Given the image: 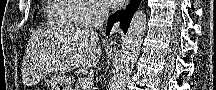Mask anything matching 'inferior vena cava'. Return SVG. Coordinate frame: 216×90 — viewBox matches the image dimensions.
<instances>
[{"label": "inferior vena cava", "mask_w": 216, "mask_h": 90, "mask_svg": "<svg viewBox=\"0 0 216 90\" xmlns=\"http://www.w3.org/2000/svg\"><path fill=\"white\" fill-rule=\"evenodd\" d=\"M93 14L94 20L92 26L93 28H97V30H101L104 20H107L108 18V6H104V4H95Z\"/></svg>", "instance_id": "obj_1"}]
</instances>
